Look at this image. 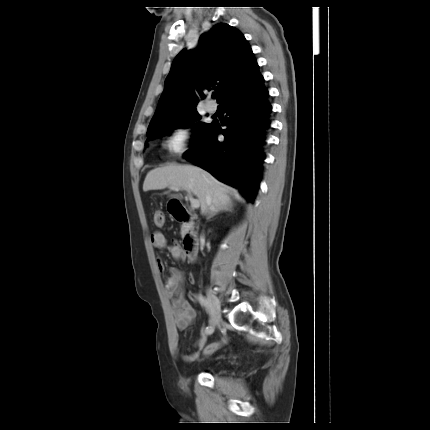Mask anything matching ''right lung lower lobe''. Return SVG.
<instances>
[{"label": "right lung lower lobe", "mask_w": 430, "mask_h": 430, "mask_svg": "<svg viewBox=\"0 0 430 430\" xmlns=\"http://www.w3.org/2000/svg\"><path fill=\"white\" fill-rule=\"evenodd\" d=\"M262 75L235 86L222 102L229 116L227 129L214 122L205 140L186 155L195 165L220 181L240 189L253 202L260 182L265 130L270 126L271 105ZM222 133L224 141H219Z\"/></svg>", "instance_id": "right-lung-lower-lobe-1"}]
</instances>
